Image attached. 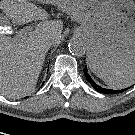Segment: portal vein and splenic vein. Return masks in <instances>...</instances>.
I'll return each mask as SVG.
<instances>
[{"mask_svg":"<svg viewBox=\"0 0 135 135\" xmlns=\"http://www.w3.org/2000/svg\"><path fill=\"white\" fill-rule=\"evenodd\" d=\"M32 27L28 26L24 29H22L21 31H19L17 38H24L25 36H27V34L29 33V31H31ZM0 33H7V34H11L12 30L7 27V28H2L0 29Z\"/></svg>","mask_w":135,"mask_h":135,"instance_id":"18ae733b","label":"portal vein and splenic vein"}]
</instances>
